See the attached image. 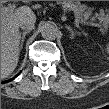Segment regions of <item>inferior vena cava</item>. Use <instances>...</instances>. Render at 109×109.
<instances>
[{
    "instance_id": "1",
    "label": "inferior vena cava",
    "mask_w": 109,
    "mask_h": 109,
    "mask_svg": "<svg viewBox=\"0 0 109 109\" xmlns=\"http://www.w3.org/2000/svg\"><path fill=\"white\" fill-rule=\"evenodd\" d=\"M20 28L26 31H31L35 28L34 22L31 21H24L20 23Z\"/></svg>"
}]
</instances>
